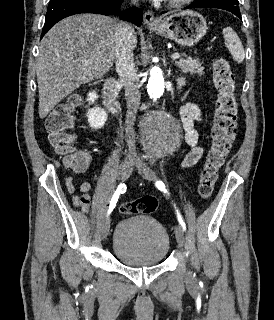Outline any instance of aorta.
<instances>
[{"label":"aorta","instance_id":"obj_1","mask_svg":"<svg viewBox=\"0 0 274 320\" xmlns=\"http://www.w3.org/2000/svg\"><path fill=\"white\" fill-rule=\"evenodd\" d=\"M147 92L153 101L163 98L165 81L162 70L153 66L149 72ZM143 147L147 153L160 156L171 152L179 138L180 127L163 111H152L142 121Z\"/></svg>","mask_w":274,"mask_h":320}]
</instances>
